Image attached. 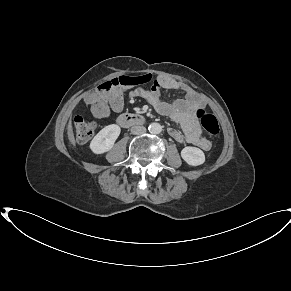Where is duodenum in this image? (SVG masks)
<instances>
[{
    "label": "duodenum",
    "mask_w": 291,
    "mask_h": 291,
    "mask_svg": "<svg viewBox=\"0 0 291 291\" xmlns=\"http://www.w3.org/2000/svg\"><path fill=\"white\" fill-rule=\"evenodd\" d=\"M118 124L122 127H130L134 125H143L145 119L141 115L124 113L121 114L118 119Z\"/></svg>",
    "instance_id": "duodenum-1"
}]
</instances>
